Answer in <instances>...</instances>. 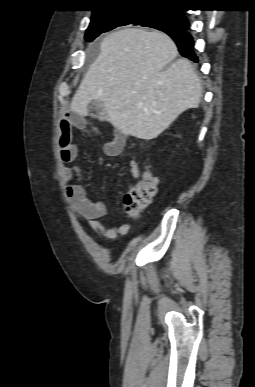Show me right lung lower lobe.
Instances as JSON below:
<instances>
[{
    "label": "right lung lower lobe",
    "mask_w": 255,
    "mask_h": 387,
    "mask_svg": "<svg viewBox=\"0 0 255 387\" xmlns=\"http://www.w3.org/2000/svg\"><path fill=\"white\" fill-rule=\"evenodd\" d=\"M189 27L180 29L162 30L167 33L177 44L179 52L183 57H186L194 62H198V57L194 53L193 38L188 32Z\"/></svg>",
    "instance_id": "right-lung-lower-lobe-1"
}]
</instances>
